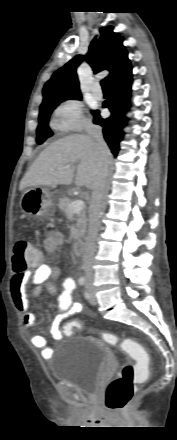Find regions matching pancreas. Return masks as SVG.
<instances>
[{
    "instance_id": "1",
    "label": "pancreas",
    "mask_w": 177,
    "mask_h": 440,
    "mask_svg": "<svg viewBox=\"0 0 177 440\" xmlns=\"http://www.w3.org/2000/svg\"><path fill=\"white\" fill-rule=\"evenodd\" d=\"M72 203H73L72 199L67 197H62L59 199L57 205L62 212H64L70 217V219L76 220L75 229L73 231V239L78 240L81 237H83L86 232L87 216L85 210L78 212L75 216L72 213H69L68 209Z\"/></svg>"
}]
</instances>
